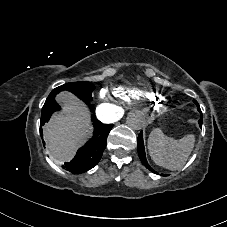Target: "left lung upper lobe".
<instances>
[{
	"mask_svg": "<svg viewBox=\"0 0 227 227\" xmlns=\"http://www.w3.org/2000/svg\"><path fill=\"white\" fill-rule=\"evenodd\" d=\"M194 103L197 105V108H198V111H199V112H200V114H201V120H202V113H201V111H200V107H199V105H198L197 101H195V100H194Z\"/></svg>",
	"mask_w": 227,
	"mask_h": 227,
	"instance_id": "left-lung-upper-lobe-1",
	"label": "left lung upper lobe"
}]
</instances>
